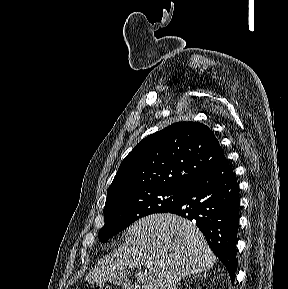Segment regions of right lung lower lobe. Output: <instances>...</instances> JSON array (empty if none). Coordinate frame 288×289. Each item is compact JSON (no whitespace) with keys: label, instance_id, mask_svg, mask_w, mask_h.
<instances>
[{"label":"right lung lower lobe","instance_id":"1","mask_svg":"<svg viewBox=\"0 0 288 289\" xmlns=\"http://www.w3.org/2000/svg\"><path fill=\"white\" fill-rule=\"evenodd\" d=\"M239 208L238 182L224 156L195 177L185 187L179 203L168 211L196 223L211 250L226 266L232 282L237 269Z\"/></svg>","mask_w":288,"mask_h":289}]
</instances>
